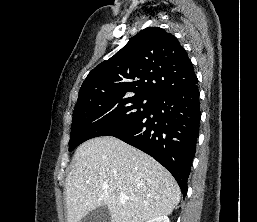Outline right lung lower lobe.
Here are the masks:
<instances>
[{
	"label": "right lung lower lobe",
	"instance_id": "1",
	"mask_svg": "<svg viewBox=\"0 0 257 222\" xmlns=\"http://www.w3.org/2000/svg\"><path fill=\"white\" fill-rule=\"evenodd\" d=\"M193 84L155 99L153 109L137 123L112 136L156 159L176 179L183 196L199 136V91Z\"/></svg>",
	"mask_w": 257,
	"mask_h": 222
}]
</instances>
